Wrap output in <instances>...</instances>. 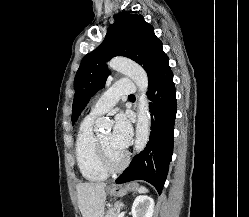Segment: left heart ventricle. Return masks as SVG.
Masks as SVG:
<instances>
[{
	"label": "left heart ventricle",
	"instance_id": "left-heart-ventricle-1",
	"mask_svg": "<svg viewBox=\"0 0 249 217\" xmlns=\"http://www.w3.org/2000/svg\"><path fill=\"white\" fill-rule=\"evenodd\" d=\"M110 133L107 132V133H104L102 134L101 136H99V139L101 140V142L104 144V146L106 147V149L108 150L111 158L113 160H118L120 159L121 155H122V152L121 150H118L116 148H114L112 145H111V142H110Z\"/></svg>",
	"mask_w": 249,
	"mask_h": 217
}]
</instances>
